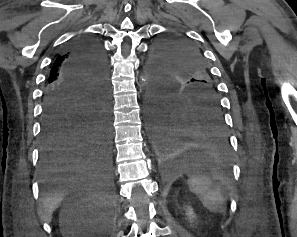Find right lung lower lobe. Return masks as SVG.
Instances as JSON below:
<instances>
[{
    "instance_id": "98d812e1",
    "label": "right lung lower lobe",
    "mask_w": 297,
    "mask_h": 237,
    "mask_svg": "<svg viewBox=\"0 0 297 237\" xmlns=\"http://www.w3.org/2000/svg\"><path fill=\"white\" fill-rule=\"evenodd\" d=\"M68 51L66 80L44 92L41 171L47 177L108 173L112 155L106 57L89 36L76 38Z\"/></svg>"
}]
</instances>
